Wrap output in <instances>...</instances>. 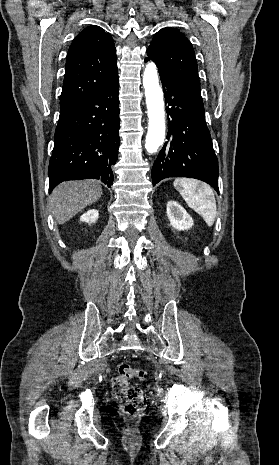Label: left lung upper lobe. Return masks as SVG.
I'll use <instances>...</instances> for the list:
<instances>
[{
	"instance_id": "left-lung-upper-lobe-1",
	"label": "left lung upper lobe",
	"mask_w": 279,
	"mask_h": 465,
	"mask_svg": "<svg viewBox=\"0 0 279 465\" xmlns=\"http://www.w3.org/2000/svg\"><path fill=\"white\" fill-rule=\"evenodd\" d=\"M149 58L153 60L159 73L175 80L201 98L197 61L190 41L176 28H163L158 31L149 48Z\"/></svg>"
}]
</instances>
